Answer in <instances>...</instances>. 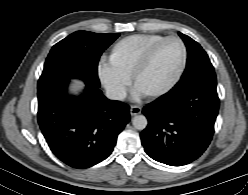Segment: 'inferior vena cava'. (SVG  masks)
Segmentation results:
<instances>
[{
	"label": "inferior vena cava",
	"instance_id": "1",
	"mask_svg": "<svg viewBox=\"0 0 248 195\" xmlns=\"http://www.w3.org/2000/svg\"><path fill=\"white\" fill-rule=\"evenodd\" d=\"M125 91L118 89H107L105 96L110 100H123L125 98Z\"/></svg>",
	"mask_w": 248,
	"mask_h": 195
}]
</instances>
